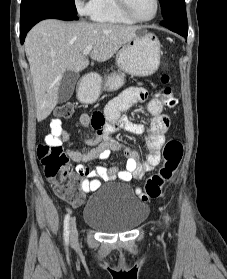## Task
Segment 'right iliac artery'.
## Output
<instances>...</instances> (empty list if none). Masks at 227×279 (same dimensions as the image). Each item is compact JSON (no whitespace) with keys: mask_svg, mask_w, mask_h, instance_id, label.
Masks as SVG:
<instances>
[{"mask_svg":"<svg viewBox=\"0 0 227 279\" xmlns=\"http://www.w3.org/2000/svg\"><path fill=\"white\" fill-rule=\"evenodd\" d=\"M69 224H70V215L66 214V216L64 218V240H65V245H68V243H69V233H70Z\"/></svg>","mask_w":227,"mask_h":279,"instance_id":"obj_1","label":"right iliac artery"}]
</instances>
